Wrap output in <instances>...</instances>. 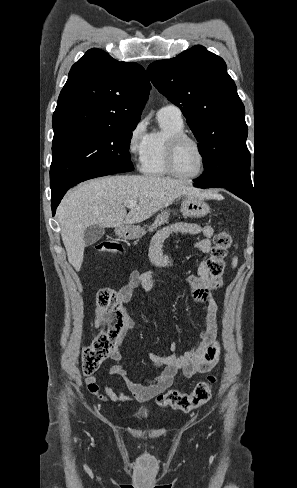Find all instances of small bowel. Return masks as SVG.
<instances>
[{
    "label": "small bowel",
    "instance_id": "c3829d8e",
    "mask_svg": "<svg viewBox=\"0 0 297 488\" xmlns=\"http://www.w3.org/2000/svg\"><path fill=\"white\" fill-rule=\"evenodd\" d=\"M173 233H183L188 235H199L200 238L195 243V248L204 255L195 274L187 278V284L192 300L204 305L205 325L201 327L195 345L181 354H178V345L172 342L169 345L170 354L149 353L153 366L160 370L154 378L147 379L143 383L135 381L128 373L126 367L119 362L121 358L120 343L111 355L115 361L108 373L120 376L130 395L117 386L115 389L107 383L102 385L103 393H100L99 378L96 375H89L85 379L87 389L97 395L101 401H112L129 403L133 400L145 402L170 390L174 383L175 376L180 371L185 378H191L210 370L217 361L218 348L216 338L218 333V306L214 298V292L220 287L209 277L206 255L211 249V237L213 228L209 225L199 226L192 223L180 222L159 230L152 238L150 245V259L154 266L163 267L175 261V256L163 252V245ZM156 280L153 272L147 271L140 273L133 271L128 282L122 286L116 296L120 304H126L133 298L136 290L142 288L151 291L155 286ZM96 324L102 325L99 316L95 320ZM135 327V321L124 312V331H130Z\"/></svg>",
    "mask_w": 297,
    "mask_h": 488
}]
</instances>
